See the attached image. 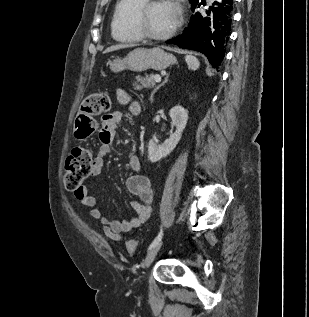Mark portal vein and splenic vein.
<instances>
[{"instance_id":"portal-vein-and-splenic-vein-1","label":"portal vein and splenic vein","mask_w":309,"mask_h":317,"mask_svg":"<svg viewBox=\"0 0 309 317\" xmlns=\"http://www.w3.org/2000/svg\"><path fill=\"white\" fill-rule=\"evenodd\" d=\"M154 80H155V82H160V81H161V76L156 75V76L154 77Z\"/></svg>"}]
</instances>
